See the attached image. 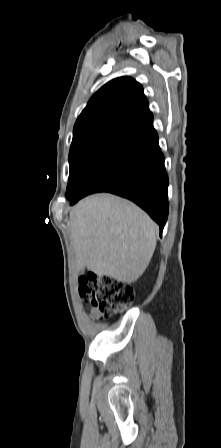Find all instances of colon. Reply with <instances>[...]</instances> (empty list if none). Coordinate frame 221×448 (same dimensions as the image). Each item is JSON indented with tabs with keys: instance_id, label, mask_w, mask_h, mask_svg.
Segmentation results:
<instances>
[{
	"instance_id": "obj_1",
	"label": "colon",
	"mask_w": 221,
	"mask_h": 448,
	"mask_svg": "<svg viewBox=\"0 0 221 448\" xmlns=\"http://www.w3.org/2000/svg\"><path fill=\"white\" fill-rule=\"evenodd\" d=\"M79 294L101 317H107L129 307L134 300L132 286L111 276H99L95 273L81 277Z\"/></svg>"
}]
</instances>
